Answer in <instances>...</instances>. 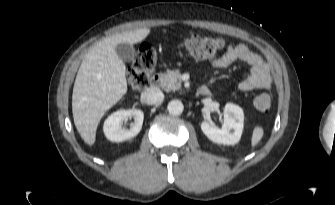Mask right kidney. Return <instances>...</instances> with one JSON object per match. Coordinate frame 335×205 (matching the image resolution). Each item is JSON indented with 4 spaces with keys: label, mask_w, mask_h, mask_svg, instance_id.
Listing matches in <instances>:
<instances>
[{
    "label": "right kidney",
    "mask_w": 335,
    "mask_h": 205,
    "mask_svg": "<svg viewBox=\"0 0 335 205\" xmlns=\"http://www.w3.org/2000/svg\"><path fill=\"white\" fill-rule=\"evenodd\" d=\"M133 118L130 128L123 127V121ZM144 113L139 109L119 110L111 114L104 122L103 130L107 139L122 142L135 137L141 130Z\"/></svg>",
    "instance_id": "ca27d5eb"
}]
</instances>
